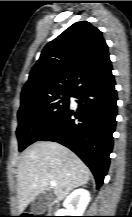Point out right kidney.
<instances>
[{"label":"right kidney","instance_id":"obj_1","mask_svg":"<svg viewBox=\"0 0 132 217\" xmlns=\"http://www.w3.org/2000/svg\"><path fill=\"white\" fill-rule=\"evenodd\" d=\"M90 201L88 190L80 188L73 191L64 201L65 209L59 210L57 216H83Z\"/></svg>","mask_w":132,"mask_h":217}]
</instances>
